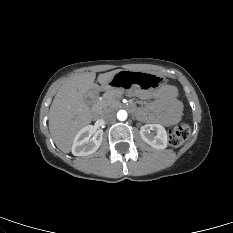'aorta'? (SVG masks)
<instances>
[{
  "label": "aorta",
  "instance_id": "762f6f07",
  "mask_svg": "<svg viewBox=\"0 0 233 233\" xmlns=\"http://www.w3.org/2000/svg\"><path fill=\"white\" fill-rule=\"evenodd\" d=\"M117 118L120 121H124L127 119V112L125 110H119L117 112Z\"/></svg>",
  "mask_w": 233,
  "mask_h": 233
}]
</instances>
